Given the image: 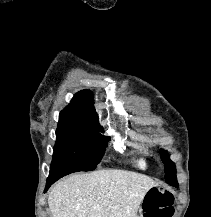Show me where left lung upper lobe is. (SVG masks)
Listing matches in <instances>:
<instances>
[{
    "instance_id": "left-lung-upper-lobe-1",
    "label": "left lung upper lobe",
    "mask_w": 211,
    "mask_h": 217,
    "mask_svg": "<svg viewBox=\"0 0 211 217\" xmlns=\"http://www.w3.org/2000/svg\"><path fill=\"white\" fill-rule=\"evenodd\" d=\"M160 155L165 165V181L171 186L178 187L175 164L169 159V156L167 155L166 151L161 149Z\"/></svg>"
}]
</instances>
